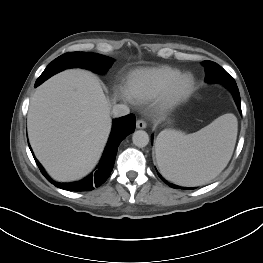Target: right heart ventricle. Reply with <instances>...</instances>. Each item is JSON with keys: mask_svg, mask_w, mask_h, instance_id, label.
<instances>
[{"mask_svg": "<svg viewBox=\"0 0 263 263\" xmlns=\"http://www.w3.org/2000/svg\"><path fill=\"white\" fill-rule=\"evenodd\" d=\"M181 73L180 69L169 65L133 70L126 80V95L134 102H147L156 98Z\"/></svg>", "mask_w": 263, "mask_h": 263, "instance_id": "1", "label": "right heart ventricle"}]
</instances>
